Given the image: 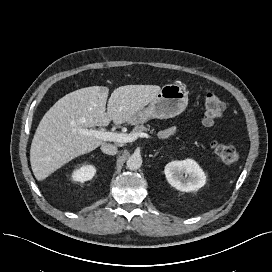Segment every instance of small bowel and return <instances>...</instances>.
I'll use <instances>...</instances> for the list:
<instances>
[{
  "instance_id": "obj_1",
  "label": "small bowel",
  "mask_w": 272,
  "mask_h": 272,
  "mask_svg": "<svg viewBox=\"0 0 272 272\" xmlns=\"http://www.w3.org/2000/svg\"><path fill=\"white\" fill-rule=\"evenodd\" d=\"M174 134H175V129L171 127V128L161 130L159 132V137L163 138V139H166V138L171 137Z\"/></svg>"
}]
</instances>
